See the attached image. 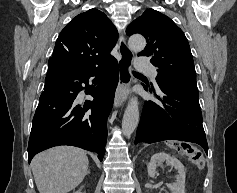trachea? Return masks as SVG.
I'll list each match as a JSON object with an SVG mask.
<instances>
[{
  "label": "trachea",
  "mask_w": 237,
  "mask_h": 193,
  "mask_svg": "<svg viewBox=\"0 0 237 193\" xmlns=\"http://www.w3.org/2000/svg\"><path fill=\"white\" fill-rule=\"evenodd\" d=\"M135 75H140V73H137V72H133Z\"/></svg>",
  "instance_id": "3493384b"
}]
</instances>
